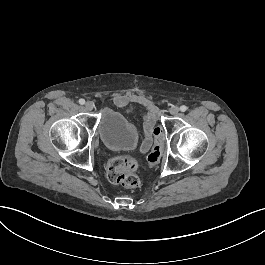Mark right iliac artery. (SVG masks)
<instances>
[{
    "label": "right iliac artery",
    "mask_w": 265,
    "mask_h": 265,
    "mask_svg": "<svg viewBox=\"0 0 265 265\" xmlns=\"http://www.w3.org/2000/svg\"><path fill=\"white\" fill-rule=\"evenodd\" d=\"M79 104H81V105L85 104V100L84 99H79Z\"/></svg>",
    "instance_id": "82829eb1"
}]
</instances>
